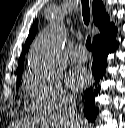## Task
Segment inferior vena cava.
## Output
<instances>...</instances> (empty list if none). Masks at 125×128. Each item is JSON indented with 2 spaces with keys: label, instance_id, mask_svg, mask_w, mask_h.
Masks as SVG:
<instances>
[{
  "label": "inferior vena cava",
  "instance_id": "602c4592",
  "mask_svg": "<svg viewBox=\"0 0 125 128\" xmlns=\"http://www.w3.org/2000/svg\"><path fill=\"white\" fill-rule=\"evenodd\" d=\"M68 118L69 123H68V128H81V118L77 115L75 111L74 106H70L66 112V116ZM62 117V118H64Z\"/></svg>",
  "mask_w": 125,
  "mask_h": 128
}]
</instances>
